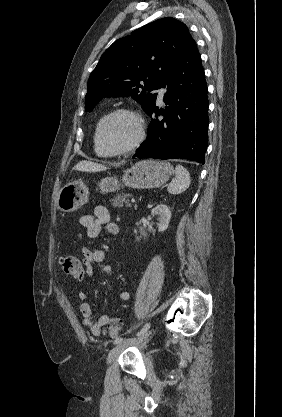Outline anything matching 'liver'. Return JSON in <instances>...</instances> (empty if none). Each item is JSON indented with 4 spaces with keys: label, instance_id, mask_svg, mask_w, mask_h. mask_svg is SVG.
Here are the masks:
<instances>
[{
    "label": "liver",
    "instance_id": "liver-1",
    "mask_svg": "<svg viewBox=\"0 0 282 417\" xmlns=\"http://www.w3.org/2000/svg\"><path fill=\"white\" fill-rule=\"evenodd\" d=\"M73 170H83V172H98V170H107L106 164H98L92 160H80L73 166Z\"/></svg>",
    "mask_w": 282,
    "mask_h": 417
}]
</instances>
